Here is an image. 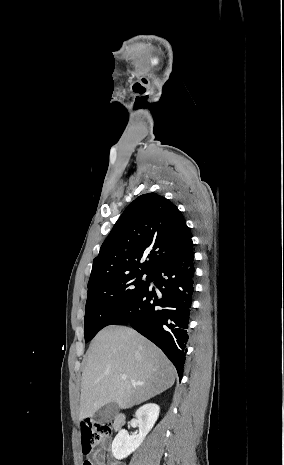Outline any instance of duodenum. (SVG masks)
<instances>
[{
  "instance_id": "410a0bca",
  "label": "duodenum",
  "mask_w": 284,
  "mask_h": 465,
  "mask_svg": "<svg viewBox=\"0 0 284 465\" xmlns=\"http://www.w3.org/2000/svg\"><path fill=\"white\" fill-rule=\"evenodd\" d=\"M125 414L123 412H118L115 414L114 418H113V423H112V426H113V429L114 431H120L122 429V427L124 426L125 424Z\"/></svg>"
}]
</instances>
